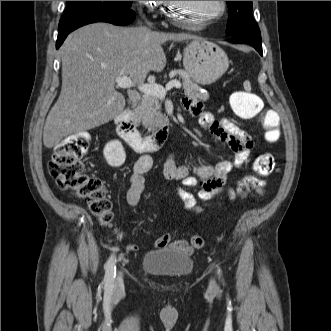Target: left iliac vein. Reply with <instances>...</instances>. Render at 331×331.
<instances>
[{
	"label": "left iliac vein",
	"instance_id": "4c4485c4",
	"mask_svg": "<svg viewBox=\"0 0 331 331\" xmlns=\"http://www.w3.org/2000/svg\"><path fill=\"white\" fill-rule=\"evenodd\" d=\"M210 288L211 289H216V284L213 280H211V282H210Z\"/></svg>",
	"mask_w": 331,
	"mask_h": 331
}]
</instances>
